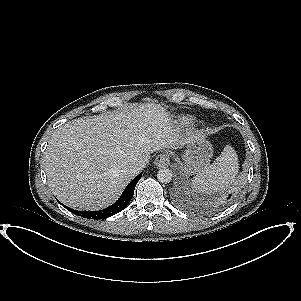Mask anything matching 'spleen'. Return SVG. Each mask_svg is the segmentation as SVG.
Masks as SVG:
<instances>
[{
    "instance_id": "1",
    "label": "spleen",
    "mask_w": 301,
    "mask_h": 301,
    "mask_svg": "<svg viewBox=\"0 0 301 301\" xmlns=\"http://www.w3.org/2000/svg\"><path fill=\"white\" fill-rule=\"evenodd\" d=\"M238 171L237 154L227 145L211 165L194 177L193 188L201 193L223 191L234 182Z\"/></svg>"
}]
</instances>
